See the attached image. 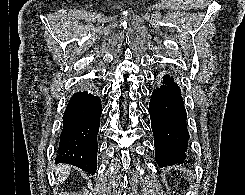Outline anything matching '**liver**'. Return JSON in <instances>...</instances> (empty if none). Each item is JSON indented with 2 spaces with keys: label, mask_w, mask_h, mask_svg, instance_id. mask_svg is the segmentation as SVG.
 <instances>
[{
  "label": "liver",
  "mask_w": 245,
  "mask_h": 195,
  "mask_svg": "<svg viewBox=\"0 0 245 195\" xmlns=\"http://www.w3.org/2000/svg\"><path fill=\"white\" fill-rule=\"evenodd\" d=\"M71 167L69 165L60 164L56 167V172L58 174V182H64L68 175L70 174Z\"/></svg>",
  "instance_id": "obj_1"
}]
</instances>
